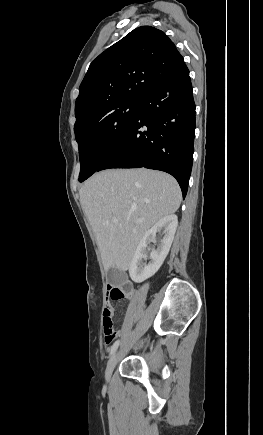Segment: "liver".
<instances>
[{
  "instance_id": "obj_1",
  "label": "liver",
  "mask_w": 263,
  "mask_h": 435,
  "mask_svg": "<svg viewBox=\"0 0 263 435\" xmlns=\"http://www.w3.org/2000/svg\"><path fill=\"white\" fill-rule=\"evenodd\" d=\"M80 202L96 236L104 269L126 271L143 235L181 203L177 181L148 169H109L81 187ZM117 219L118 223H113Z\"/></svg>"
}]
</instances>
